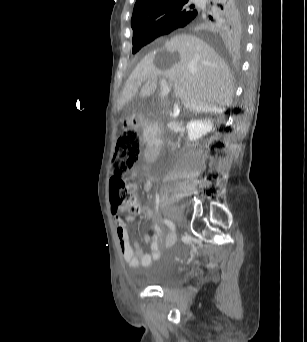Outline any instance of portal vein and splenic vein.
<instances>
[{
    "label": "portal vein and splenic vein",
    "mask_w": 307,
    "mask_h": 342,
    "mask_svg": "<svg viewBox=\"0 0 307 342\" xmlns=\"http://www.w3.org/2000/svg\"><path fill=\"white\" fill-rule=\"evenodd\" d=\"M157 88L159 90H162V92L160 93L162 96L165 94V93H171L172 91V88L171 86H166L168 84V81L166 79H163V78H160L158 81H157Z\"/></svg>",
    "instance_id": "1"
}]
</instances>
